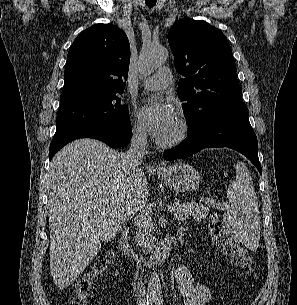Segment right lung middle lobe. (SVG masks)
Segmentation results:
<instances>
[{"label": "right lung middle lobe", "instance_id": "right-lung-middle-lobe-1", "mask_svg": "<svg viewBox=\"0 0 297 305\" xmlns=\"http://www.w3.org/2000/svg\"><path fill=\"white\" fill-rule=\"evenodd\" d=\"M123 91L87 93L60 100L56 132L51 145L87 127L129 125L128 107L121 104L119 97Z\"/></svg>", "mask_w": 297, "mask_h": 305}]
</instances>
